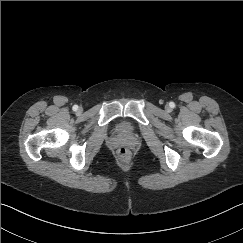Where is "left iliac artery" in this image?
<instances>
[{
    "label": "left iliac artery",
    "instance_id": "obj_1",
    "mask_svg": "<svg viewBox=\"0 0 243 243\" xmlns=\"http://www.w3.org/2000/svg\"><path fill=\"white\" fill-rule=\"evenodd\" d=\"M170 106H171V107H174V106H175V104H174L173 102H171V103H170Z\"/></svg>",
    "mask_w": 243,
    "mask_h": 243
}]
</instances>
